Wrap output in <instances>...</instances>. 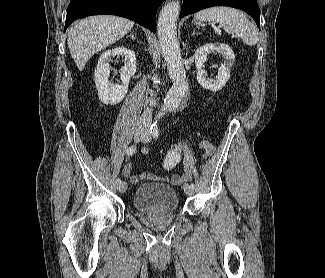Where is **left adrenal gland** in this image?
Masks as SVG:
<instances>
[{"label": "left adrenal gland", "mask_w": 325, "mask_h": 278, "mask_svg": "<svg viewBox=\"0 0 325 278\" xmlns=\"http://www.w3.org/2000/svg\"><path fill=\"white\" fill-rule=\"evenodd\" d=\"M195 34H200V33L199 32H196V30L193 29V32H192L191 36H194Z\"/></svg>", "instance_id": "obj_1"}]
</instances>
